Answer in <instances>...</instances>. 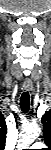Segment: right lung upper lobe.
<instances>
[{
    "instance_id": "right-lung-upper-lobe-1",
    "label": "right lung upper lobe",
    "mask_w": 51,
    "mask_h": 150,
    "mask_svg": "<svg viewBox=\"0 0 51 150\" xmlns=\"http://www.w3.org/2000/svg\"><path fill=\"white\" fill-rule=\"evenodd\" d=\"M7 126L4 116L0 113V150H4L6 142Z\"/></svg>"
}]
</instances>
